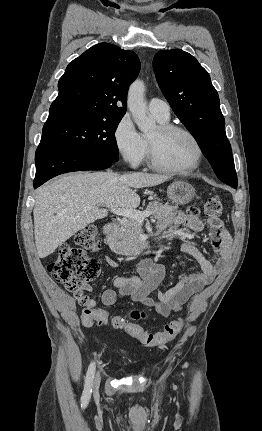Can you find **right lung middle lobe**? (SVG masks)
I'll return each mask as SVG.
<instances>
[{"instance_id": "right-lung-middle-lobe-1", "label": "right lung middle lobe", "mask_w": 262, "mask_h": 431, "mask_svg": "<svg viewBox=\"0 0 262 431\" xmlns=\"http://www.w3.org/2000/svg\"><path fill=\"white\" fill-rule=\"evenodd\" d=\"M121 118H86L44 125L40 144L76 148L116 162L114 133Z\"/></svg>"}]
</instances>
